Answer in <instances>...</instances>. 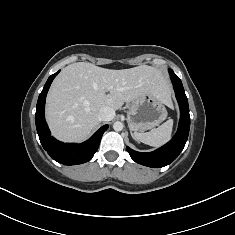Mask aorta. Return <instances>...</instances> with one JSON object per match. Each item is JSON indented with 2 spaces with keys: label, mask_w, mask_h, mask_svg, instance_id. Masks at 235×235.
Masks as SVG:
<instances>
[{
  "label": "aorta",
  "mask_w": 235,
  "mask_h": 235,
  "mask_svg": "<svg viewBox=\"0 0 235 235\" xmlns=\"http://www.w3.org/2000/svg\"><path fill=\"white\" fill-rule=\"evenodd\" d=\"M123 127H124V125H123V123L120 122V121H117V122H115V123L113 124V129H114L115 131H121V130L123 129Z\"/></svg>",
  "instance_id": "obj_1"
}]
</instances>
